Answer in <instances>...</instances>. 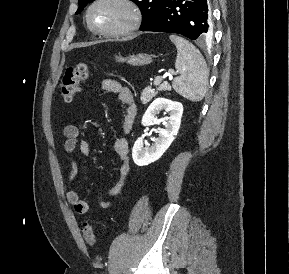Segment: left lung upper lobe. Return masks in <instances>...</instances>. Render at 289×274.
<instances>
[{
	"label": "left lung upper lobe",
	"mask_w": 289,
	"mask_h": 274,
	"mask_svg": "<svg viewBox=\"0 0 289 274\" xmlns=\"http://www.w3.org/2000/svg\"><path fill=\"white\" fill-rule=\"evenodd\" d=\"M94 0H79V4L83 5ZM135 2L142 13V26L149 23L160 11L165 0H132ZM82 9H78L76 14H79Z\"/></svg>",
	"instance_id": "1"
}]
</instances>
